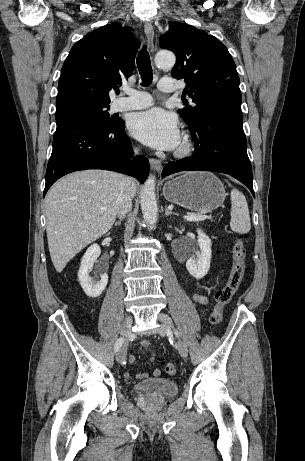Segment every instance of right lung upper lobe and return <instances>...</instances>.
I'll use <instances>...</instances> for the list:
<instances>
[{
	"label": "right lung upper lobe",
	"mask_w": 305,
	"mask_h": 461,
	"mask_svg": "<svg viewBox=\"0 0 305 461\" xmlns=\"http://www.w3.org/2000/svg\"><path fill=\"white\" fill-rule=\"evenodd\" d=\"M140 45L131 28L119 23L102 26L74 44L58 83L57 108L79 103H110L117 88L134 69Z\"/></svg>",
	"instance_id": "obj_1"
}]
</instances>
